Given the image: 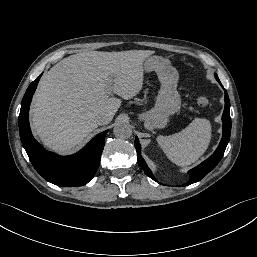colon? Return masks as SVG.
<instances>
[{
	"instance_id": "5ec220e1",
	"label": "colon",
	"mask_w": 257,
	"mask_h": 257,
	"mask_svg": "<svg viewBox=\"0 0 257 257\" xmlns=\"http://www.w3.org/2000/svg\"><path fill=\"white\" fill-rule=\"evenodd\" d=\"M197 104L200 108H206L209 104V99L206 95H200L197 99Z\"/></svg>"
}]
</instances>
